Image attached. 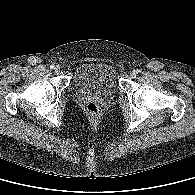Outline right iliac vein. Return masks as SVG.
I'll return each mask as SVG.
<instances>
[{
  "mask_svg": "<svg viewBox=\"0 0 195 195\" xmlns=\"http://www.w3.org/2000/svg\"><path fill=\"white\" fill-rule=\"evenodd\" d=\"M55 72H56V73H59V72H60V67H59V66H56V67H55Z\"/></svg>",
  "mask_w": 195,
  "mask_h": 195,
  "instance_id": "1",
  "label": "right iliac vein"
}]
</instances>
